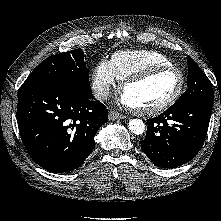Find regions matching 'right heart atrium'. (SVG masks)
Returning <instances> with one entry per match:
<instances>
[{"instance_id":"1","label":"right heart atrium","mask_w":221,"mask_h":221,"mask_svg":"<svg viewBox=\"0 0 221 221\" xmlns=\"http://www.w3.org/2000/svg\"><path fill=\"white\" fill-rule=\"evenodd\" d=\"M91 83L95 97L100 101L106 100L116 85L109 61L101 60L96 64L92 70Z\"/></svg>"}]
</instances>
